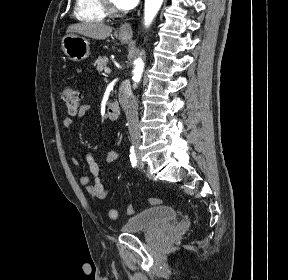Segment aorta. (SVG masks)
Listing matches in <instances>:
<instances>
[{
  "label": "aorta",
  "instance_id": "762f6f07",
  "mask_svg": "<svg viewBox=\"0 0 288 280\" xmlns=\"http://www.w3.org/2000/svg\"><path fill=\"white\" fill-rule=\"evenodd\" d=\"M162 3L163 0H145L144 23L147 27L152 23ZM143 70H144V62L141 58H138L135 61V68L133 70V80L135 84L140 81Z\"/></svg>",
  "mask_w": 288,
  "mask_h": 280
}]
</instances>
